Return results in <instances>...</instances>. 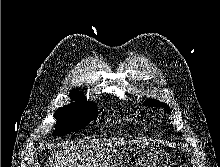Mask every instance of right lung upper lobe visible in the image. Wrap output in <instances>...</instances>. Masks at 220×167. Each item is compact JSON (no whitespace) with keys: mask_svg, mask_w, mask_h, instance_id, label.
<instances>
[{"mask_svg":"<svg viewBox=\"0 0 220 167\" xmlns=\"http://www.w3.org/2000/svg\"><path fill=\"white\" fill-rule=\"evenodd\" d=\"M71 99L75 100L76 102L86 101L83 93L77 90H72L70 93Z\"/></svg>","mask_w":220,"mask_h":167,"instance_id":"right-lung-upper-lobe-1","label":"right lung upper lobe"}]
</instances>
